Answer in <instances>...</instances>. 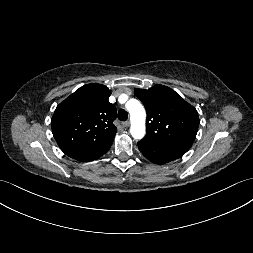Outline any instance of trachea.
Listing matches in <instances>:
<instances>
[{
    "label": "trachea",
    "instance_id": "3493384b",
    "mask_svg": "<svg viewBox=\"0 0 253 253\" xmlns=\"http://www.w3.org/2000/svg\"><path fill=\"white\" fill-rule=\"evenodd\" d=\"M128 118V113L124 109L118 111V119L121 121H126Z\"/></svg>",
    "mask_w": 253,
    "mask_h": 253
}]
</instances>
